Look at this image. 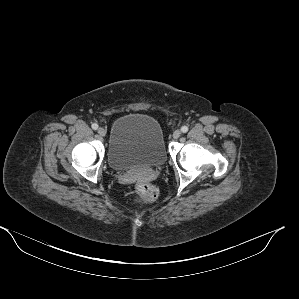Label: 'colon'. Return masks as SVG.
Instances as JSON below:
<instances>
[{
	"label": "colon",
	"mask_w": 299,
	"mask_h": 299,
	"mask_svg": "<svg viewBox=\"0 0 299 299\" xmlns=\"http://www.w3.org/2000/svg\"><path fill=\"white\" fill-rule=\"evenodd\" d=\"M135 189L138 193L137 202L148 203L154 201L158 197L157 188L149 183L138 182Z\"/></svg>",
	"instance_id": "5ec220e1"
}]
</instances>
